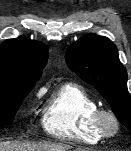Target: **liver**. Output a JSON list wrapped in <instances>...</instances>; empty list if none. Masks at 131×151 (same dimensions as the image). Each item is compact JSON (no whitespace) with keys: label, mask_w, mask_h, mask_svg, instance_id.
<instances>
[{"label":"liver","mask_w":131,"mask_h":151,"mask_svg":"<svg viewBox=\"0 0 131 151\" xmlns=\"http://www.w3.org/2000/svg\"><path fill=\"white\" fill-rule=\"evenodd\" d=\"M70 146L62 143L1 142L0 151H69Z\"/></svg>","instance_id":"1"}]
</instances>
